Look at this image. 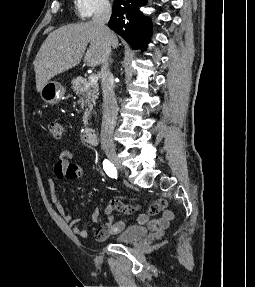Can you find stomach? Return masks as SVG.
I'll use <instances>...</instances> for the list:
<instances>
[{
	"label": "stomach",
	"mask_w": 255,
	"mask_h": 287,
	"mask_svg": "<svg viewBox=\"0 0 255 287\" xmlns=\"http://www.w3.org/2000/svg\"><path fill=\"white\" fill-rule=\"evenodd\" d=\"M65 94V88L59 84V82H47L45 86H43L40 96L46 104H50V106H54V104H58L60 100H62Z\"/></svg>",
	"instance_id": "0dacf381"
}]
</instances>
